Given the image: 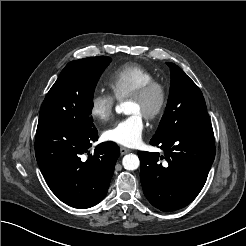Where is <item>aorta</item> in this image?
Here are the masks:
<instances>
[{
    "instance_id": "obj_1",
    "label": "aorta",
    "mask_w": 246,
    "mask_h": 246,
    "mask_svg": "<svg viewBox=\"0 0 246 246\" xmlns=\"http://www.w3.org/2000/svg\"><path fill=\"white\" fill-rule=\"evenodd\" d=\"M118 114L124 113L126 115L132 113V103L131 102H123L120 105H117L115 108ZM122 164L126 170H136L139 165L140 161L137 155L135 154H128L123 157Z\"/></svg>"
}]
</instances>
